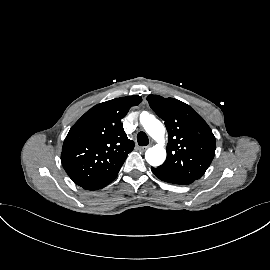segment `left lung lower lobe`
Returning a JSON list of instances; mask_svg holds the SVG:
<instances>
[{"instance_id":"1","label":"left lung lower lobe","mask_w":270,"mask_h":270,"mask_svg":"<svg viewBox=\"0 0 270 270\" xmlns=\"http://www.w3.org/2000/svg\"><path fill=\"white\" fill-rule=\"evenodd\" d=\"M151 170L157 178L168 183L188 185L195 181L194 179L179 172L166 170L159 167H152Z\"/></svg>"}]
</instances>
